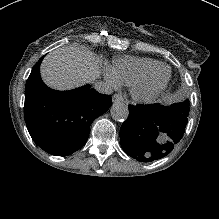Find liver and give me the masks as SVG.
Instances as JSON below:
<instances>
[{
    "label": "liver",
    "mask_w": 219,
    "mask_h": 219,
    "mask_svg": "<svg viewBox=\"0 0 219 219\" xmlns=\"http://www.w3.org/2000/svg\"><path fill=\"white\" fill-rule=\"evenodd\" d=\"M43 81L59 90H68L94 81L98 76L94 54L82 48H60L45 57L41 64Z\"/></svg>",
    "instance_id": "1"
}]
</instances>
